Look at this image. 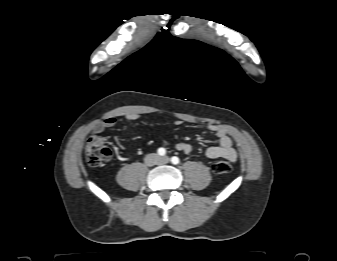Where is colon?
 I'll use <instances>...</instances> for the list:
<instances>
[{
  "instance_id": "obj_1",
  "label": "colon",
  "mask_w": 337,
  "mask_h": 261,
  "mask_svg": "<svg viewBox=\"0 0 337 261\" xmlns=\"http://www.w3.org/2000/svg\"><path fill=\"white\" fill-rule=\"evenodd\" d=\"M111 149L106 143V139L100 135H93L86 145V160L92 167H97L110 159ZM231 164L228 160L222 159L213 164V171L216 174H226L230 172Z\"/></svg>"
}]
</instances>
